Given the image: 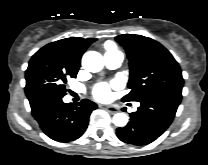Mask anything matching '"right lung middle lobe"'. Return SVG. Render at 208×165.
<instances>
[{
    "mask_svg": "<svg viewBox=\"0 0 208 165\" xmlns=\"http://www.w3.org/2000/svg\"><path fill=\"white\" fill-rule=\"evenodd\" d=\"M79 67L54 49L43 47L36 52L25 74V93L31 107L50 98H63L67 78H75Z\"/></svg>",
    "mask_w": 208,
    "mask_h": 165,
    "instance_id": "right-lung-middle-lobe-1",
    "label": "right lung middle lobe"
}]
</instances>
